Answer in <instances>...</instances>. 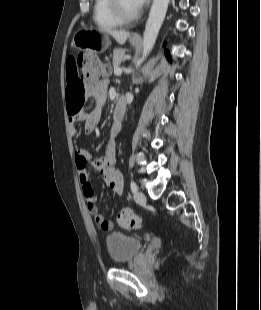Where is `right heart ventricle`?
<instances>
[{
  "instance_id": "e07e8e85",
  "label": "right heart ventricle",
  "mask_w": 261,
  "mask_h": 310,
  "mask_svg": "<svg viewBox=\"0 0 261 310\" xmlns=\"http://www.w3.org/2000/svg\"><path fill=\"white\" fill-rule=\"evenodd\" d=\"M93 19L95 24L101 29H113L122 24L111 13L108 0H94Z\"/></svg>"
}]
</instances>
